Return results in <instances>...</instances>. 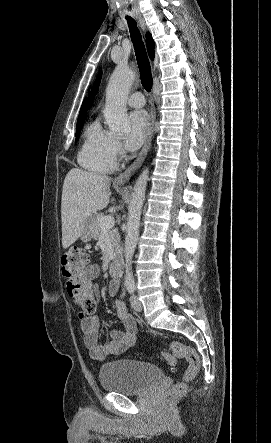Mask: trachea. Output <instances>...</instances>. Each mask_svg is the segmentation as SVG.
<instances>
[{
	"label": "trachea",
	"instance_id": "3493384b",
	"mask_svg": "<svg viewBox=\"0 0 271 443\" xmlns=\"http://www.w3.org/2000/svg\"><path fill=\"white\" fill-rule=\"evenodd\" d=\"M132 3V0H121L120 6L123 8V12H128V6ZM130 29L131 39L134 45L136 59L140 71V79L143 87L147 92L152 88V74L150 63L147 57L146 49L142 41V36L137 28L136 22L131 17H126Z\"/></svg>",
	"mask_w": 271,
	"mask_h": 443
}]
</instances>
